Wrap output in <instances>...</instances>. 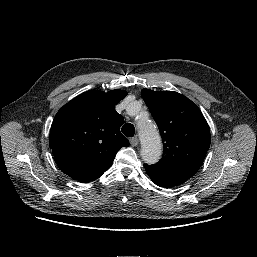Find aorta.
I'll use <instances>...</instances> for the list:
<instances>
[{
	"mask_svg": "<svg viewBox=\"0 0 257 257\" xmlns=\"http://www.w3.org/2000/svg\"><path fill=\"white\" fill-rule=\"evenodd\" d=\"M129 110L140 109L139 103L129 105ZM141 140V157L147 164H155L162 154L161 139L155 125L151 121H143L138 125Z\"/></svg>",
	"mask_w": 257,
	"mask_h": 257,
	"instance_id": "1",
	"label": "aorta"
}]
</instances>
